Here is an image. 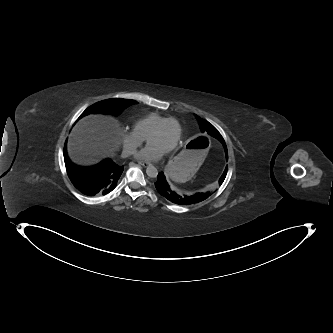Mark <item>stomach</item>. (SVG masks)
<instances>
[{
  "mask_svg": "<svg viewBox=\"0 0 333 333\" xmlns=\"http://www.w3.org/2000/svg\"><path fill=\"white\" fill-rule=\"evenodd\" d=\"M210 148L206 135L187 138L179 147L177 154L166 164V177L174 183L185 182L198 170Z\"/></svg>",
  "mask_w": 333,
  "mask_h": 333,
  "instance_id": "obj_1",
  "label": "stomach"
}]
</instances>
